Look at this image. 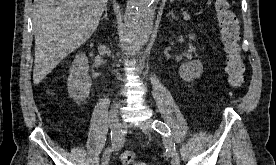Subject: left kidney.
<instances>
[{
    "instance_id": "left-kidney-1",
    "label": "left kidney",
    "mask_w": 276,
    "mask_h": 165,
    "mask_svg": "<svg viewBox=\"0 0 276 165\" xmlns=\"http://www.w3.org/2000/svg\"><path fill=\"white\" fill-rule=\"evenodd\" d=\"M190 40H195L194 34H189ZM203 72V65L199 60H193L183 63L179 68L180 77L186 82H192L199 78Z\"/></svg>"
}]
</instances>
